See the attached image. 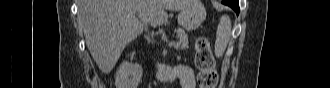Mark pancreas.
<instances>
[{
  "label": "pancreas",
  "instance_id": "obj_1",
  "mask_svg": "<svg viewBox=\"0 0 330 88\" xmlns=\"http://www.w3.org/2000/svg\"><path fill=\"white\" fill-rule=\"evenodd\" d=\"M177 35H178V42L175 45V48L177 50H183V49H187L188 48V35L185 33V31L183 29H177L176 30Z\"/></svg>",
  "mask_w": 330,
  "mask_h": 88
}]
</instances>
